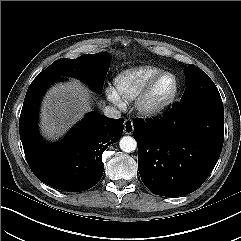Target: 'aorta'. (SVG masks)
<instances>
[{
	"instance_id": "obj_1",
	"label": "aorta",
	"mask_w": 241,
	"mask_h": 241,
	"mask_svg": "<svg viewBox=\"0 0 241 241\" xmlns=\"http://www.w3.org/2000/svg\"><path fill=\"white\" fill-rule=\"evenodd\" d=\"M119 146L123 152L130 153L136 150L137 142L131 136H124L120 139Z\"/></svg>"
}]
</instances>
